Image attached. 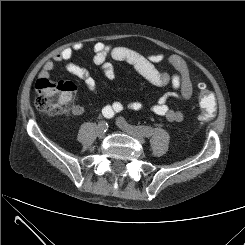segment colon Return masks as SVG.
Here are the masks:
<instances>
[{"mask_svg":"<svg viewBox=\"0 0 245 245\" xmlns=\"http://www.w3.org/2000/svg\"><path fill=\"white\" fill-rule=\"evenodd\" d=\"M37 97L35 105L38 110L54 115H65L72 110L75 97V86L69 81L39 79L36 83ZM198 95L202 109L199 120H211L216 113V102L213 93L203 83L198 84Z\"/></svg>","mask_w":245,"mask_h":245,"instance_id":"colon-1","label":"colon"}]
</instances>
